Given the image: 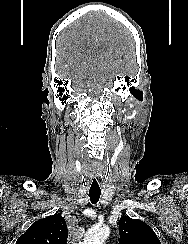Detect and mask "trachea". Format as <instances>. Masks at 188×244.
<instances>
[{
  "instance_id": "trachea-1",
  "label": "trachea",
  "mask_w": 188,
  "mask_h": 244,
  "mask_svg": "<svg viewBox=\"0 0 188 244\" xmlns=\"http://www.w3.org/2000/svg\"><path fill=\"white\" fill-rule=\"evenodd\" d=\"M101 180H92L89 184L90 191H89V197L90 201L93 204H96L99 201L100 195H101Z\"/></svg>"
}]
</instances>
